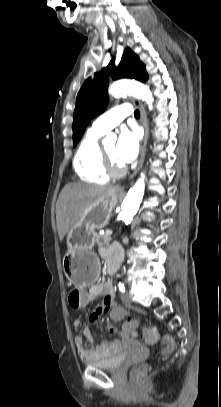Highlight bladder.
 I'll list each match as a JSON object with an SVG mask.
<instances>
[{
  "mask_svg": "<svg viewBox=\"0 0 221 407\" xmlns=\"http://www.w3.org/2000/svg\"><path fill=\"white\" fill-rule=\"evenodd\" d=\"M125 361V356L121 353H116L108 358L100 360H89L85 364L90 367L100 368L105 370H118Z\"/></svg>",
  "mask_w": 221,
  "mask_h": 407,
  "instance_id": "bladder-1",
  "label": "bladder"
}]
</instances>
